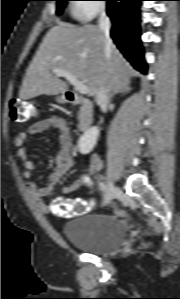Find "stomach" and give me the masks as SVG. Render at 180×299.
<instances>
[{
    "instance_id": "0dacf381",
    "label": "stomach",
    "mask_w": 180,
    "mask_h": 299,
    "mask_svg": "<svg viewBox=\"0 0 180 299\" xmlns=\"http://www.w3.org/2000/svg\"><path fill=\"white\" fill-rule=\"evenodd\" d=\"M56 100L59 103H65L66 102V98H65L64 95L57 97Z\"/></svg>"
}]
</instances>
